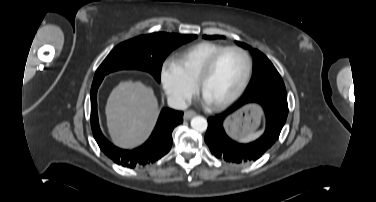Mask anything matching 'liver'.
<instances>
[{"instance_id": "6515ba94", "label": "liver", "mask_w": 376, "mask_h": 202, "mask_svg": "<svg viewBox=\"0 0 376 202\" xmlns=\"http://www.w3.org/2000/svg\"><path fill=\"white\" fill-rule=\"evenodd\" d=\"M158 102L153 89L141 82H121L106 104L107 127L113 143L131 149L143 143L153 130Z\"/></svg>"}]
</instances>
